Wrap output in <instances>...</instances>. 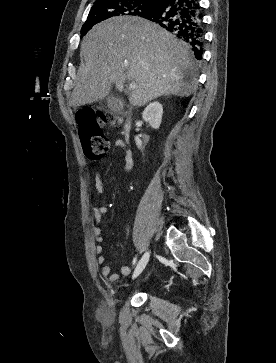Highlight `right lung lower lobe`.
Wrapping results in <instances>:
<instances>
[{"label":"right lung lower lobe","mask_w":276,"mask_h":363,"mask_svg":"<svg viewBox=\"0 0 276 363\" xmlns=\"http://www.w3.org/2000/svg\"><path fill=\"white\" fill-rule=\"evenodd\" d=\"M143 18L157 23L186 42L197 59L203 51V22L198 0H161Z\"/></svg>","instance_id":"1"}]
</instances>
